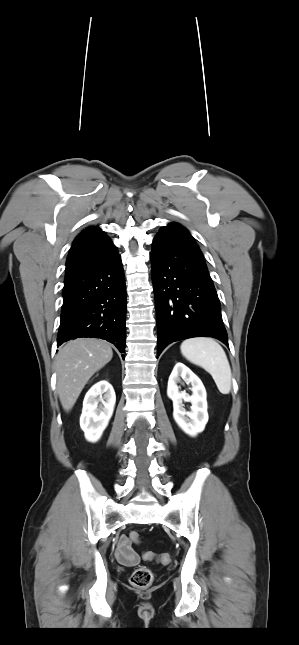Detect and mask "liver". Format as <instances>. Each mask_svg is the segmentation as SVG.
I'll return each instance as SVG.
<instances>
[{"label":"liver","instance_id":"1","mask_svg":"<svg viewBox=\"0 0 299 645\" xmlns=\"http://www.w3.org/2000/svg\"><path fill=\"white\" fill-rule=\"evenodd\" d=\"M113 356L108 343L94 338L67 342L56 356L57 392L65 411L76 403L88 380Z\"/></svg>","mask_w":299,"mask_h":645}]
</instances>
